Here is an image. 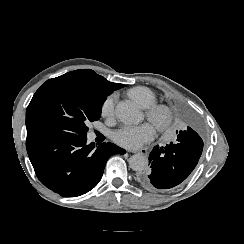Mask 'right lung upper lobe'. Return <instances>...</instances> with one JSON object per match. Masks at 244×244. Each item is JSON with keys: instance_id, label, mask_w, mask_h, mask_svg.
I'll use <instances>...</instances> for the list:
<instances>
[{"instance_id": "obj_1", "label": "right lung upper lobe", "mask_w": 244, "mask_h": 244, "mask_svg": "<svg viewBox=\"0 0 244 244\" xmlns=\"http://www.w3.org/2000/svg\"><path fill=\"white\" fill-rule=\"evenodd\" d=\"M69 73L91 78L102 90V92L108 95L124 86L123 84L109 82L104 77L96 74L94 71L89 69L76 70Z\"/></svg>"}]
</instances>
